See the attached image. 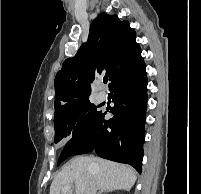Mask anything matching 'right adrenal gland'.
<instances>
[{"label": "right adrenal gland", "mask_w": 201, "mask_h": 194, "mask_svg": "<svg viewBox=\"0 0 201 194\" xmlns=\"http://www.w3.org/2000/svg\"><path fill=\"white\" fill-rule=\"evenodd\" d=\"M103 191H100L98 194H102Z\"/></svg>", "instance_id": "2a0ac1e0"}]
</instances>
